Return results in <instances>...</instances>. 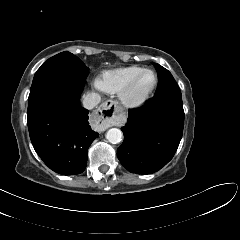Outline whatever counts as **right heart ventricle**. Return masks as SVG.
<instances>
[{
  "instance_id": "right-heart-ventricle-1",
  "label": "right heart ventricle",
  "mask_w": 240,
  "mask_h": 240,
  "mask_svg": "<svg viewBox=\"0 0 240 240\" xmlns=\"http://www.w3.org/2000/svg\"><path fill=\"white\" fill-rule=\"evenodd\" d=\"M140 66H129L106 71L97 81L98 87L108 93H120V91L143 70Z\"/></svg>"
}]
</instances>
